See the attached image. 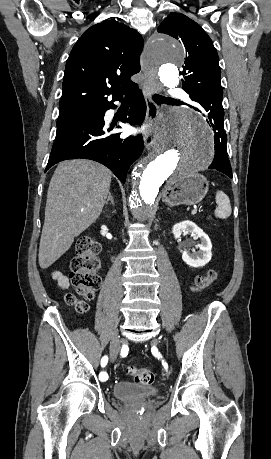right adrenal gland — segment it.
<instances>
[{
	"label": "right adrenal gland",
	"instance_id": "2a0ac1e0",
	"mask_svg": "<svg viewBox=\"0 0 271 459\" xmlns=\"http://www.w3.org/2000/svg\"><path fill=\"white\" fill-rule=\"evenodd\" d=\"M108 202H111V204H113V206H114V200H113V196H111V192H109L108 198H107L105 204H108Z\"/></svg>",
	"mask_w": 271,
	"mask_h": 459
}]
</instances>
